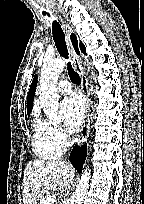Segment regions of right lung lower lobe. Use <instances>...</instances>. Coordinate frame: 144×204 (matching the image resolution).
<instances>
[{"instance_id":"1","label":"right lung lower lobe","mask_w":144,"mask_h":204,"mask_svg":"<svg viewBox=\"0 0 144 204\" xmlns=\"http://www.w3.org/2000/svg\"><path fill=\"white\" fill-rule=\"evenodd\" d=\"M87 147L75 146L70 154V161L76 170L80 173L82 171L83 163L86 159Z\"/></svg>"}]
</instances>
